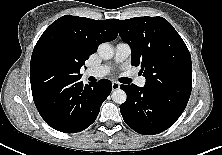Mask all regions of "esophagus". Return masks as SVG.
I'll return each mask as SVG.
<instances>
[{
  "mask_svg": "<svg viewBox=\"0 0 222 155\" xmlns=\"http://www.w3.org/2000/svg\"><path fill=\"white\" fill-rule=\"evenodd\" d=\"M120 88V84L118 82H112V90H118Z\"/></svg>",
  "mask_w": 222,
  "mask_h": 155,
  "instance_id": "1",
  "label": "esophagus"
}]
</instances>
